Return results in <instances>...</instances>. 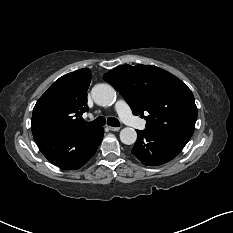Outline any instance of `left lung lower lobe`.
<instances>
[{"instance_id": "1", "label": "left lung lower lobe", "mask_w": 233, "mask_h": 233, "mask_svg": "<svg viewBox=\"0 0 233 233\" xmlns=\"http://www.w3.org/2000/svg\"><path fill=\"white\" fill-rule=\"evenodd\" d=\"M137 131V141L132 149L144 165L157 166L175 158L189 139L148 129Z\"/></svg>"}]
</instances>
